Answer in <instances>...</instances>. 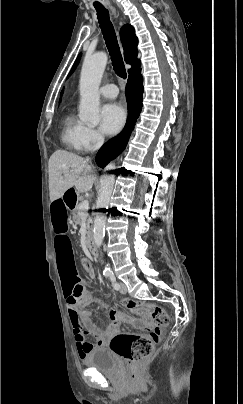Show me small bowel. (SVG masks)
Instances as JSON below:
<instances>
[{
  "mask_svg": "<svg viewBox=\"0 0 243 404\" xmlns=\"http://www.w3.org/2000/svg\"><path fill=\"white\" fill-rule=\"evenodd\" d=\"M50 221L68 315L73 327L78 354L84 358L93 348L107 345L110 338L118 333V323L121 316L117 310H113L111 312V324L96 326L91 322L90 313L86 309L80 310L78 308L80 305H89L90 297L86 287L80 282L75 267L71 240L68 236V207L63 194L56 196L51 201ZM89 276L94 278L95 274L92 270L89 271ZM81 322L84 323L85 329L82 328ZM87 334L95 338L94 344L86 341L85 336Z\"/></svg>",
  "mask_w": 243,
  "mask_h": 404,
  "instance_id": "small-bowel-1",
  "label": "small bowel"
}]
</instances>
